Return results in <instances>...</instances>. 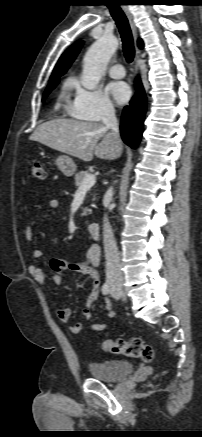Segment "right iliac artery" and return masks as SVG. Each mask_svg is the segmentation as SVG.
I'll list each match as a JSON object with an SVG mask.
<instances>
[{
	"label": "right iliac artery",
	"mask_w": 202,
	"mask_h": 437,
	"mask_svg": "<svg viewBox=\"0 0 202 437\" xmlns=\"http://www.w3.org/2000/svg\"><path fill=\"white\" fill-rule=\"evenodd\" d=\"M110 292V285L108 283H104L102 286V293L107 295Z\"/></svg>",
	"instance_id": "obj_1"
}]
</instances>
